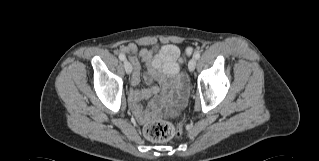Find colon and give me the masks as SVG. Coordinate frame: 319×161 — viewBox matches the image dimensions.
Returning <instances> with one entry per match:
<instances>
[{
    "label": "colon",
    "instance_id": "1",
    "mask_svg": "<svg viewBox=\"0 0 319 161\" xmlns=\"http://www.w3.org/2000/svg\"><path fill=\"white\" fill-rule=\"evenodd\" d=\"M178 116L177 114H173ZM147 139L154 142L168 141L174 136L181 134V128H175L171 123L158 121L147 125L144 129Z\"/></svg>",
    "mask_w": 319,
    "mask_h": 161
}]
</instances>
